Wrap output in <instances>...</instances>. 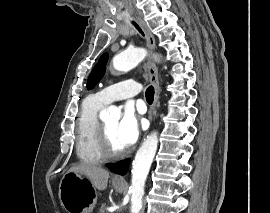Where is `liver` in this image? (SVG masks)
I'll list each match as a JSON object with an SVG mask.
<instances>
[{"mask_svg": "<svg viewBox=\"0 0 270 213\" xmlns=\"http://www.w3.org/2000/svg\"><path fill=\"white\" fill-rule=\"evenodd\" d=\"M69 172L86 176L90 180L94 189L105 190L107 188L109 172L101 166L89 163H80L72 166L69 169Z\"/></svg>", "mask_w": 270, "mask_h": 213, "instance_id": "obj_1", "label": "liver"}]
</instances>
